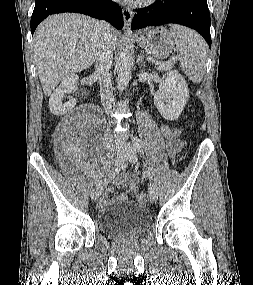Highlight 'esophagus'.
<instances>
[{"label":"esophagus","mask_w":253,"mask_h":285,"mask_svg":"<svg viewBox=\"0 0 253 285\" xmlns=\"http://www.w3.org/2000/svg\"><path fill=\"white\" fill-rule=\"evenodd\" d=\"M123 19L125 29L129 31L131 29V22L133 19V12L129 8L123 9Z\"/></svg>","instance_id":"1"}]
</instances>
